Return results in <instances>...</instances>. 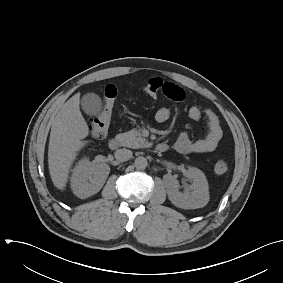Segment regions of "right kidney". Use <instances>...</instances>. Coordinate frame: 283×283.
<instances>
[{
	"mask_svg": "<svg viewBox=\"0 0 283 283\" xmlns=\"http://www.w3.org/2000/svg\"><path fill=\"white\" fill-rule=\"evenodd\" d=\"M109 172L107 164L92 163L89 158L79 160L71 176L73 193L81 199L96 194L104 185Z\"/></svg>",
	"mask_w": 283,
	"mask_h": 283,
	"instance_id": "ca27d5eb",
	"label": "right kidney"
}]
</instances>
